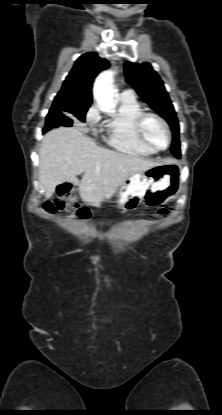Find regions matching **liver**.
Masks as SVG:
<instances>
[{"label": "liver", "mask_w": 222, "mask_h": 415, "mask_svg": "<svg viewBox=\"0 0 222 415\" xmlns=\"http://www.w3.org/2000/svg\"><path fill=\"white\" fill-rule=\"evenodd\" d=\"M39 157V180L47 199L52 197L57 185L69 182L79 187L80 197L88 205L109 200L136 173L175 162L171 158L157 161L99 147L73 127H59L46 133ZM82 173L79 181L77 176Z\"/></svg>", "instance_id": "1"}]
</instances>
